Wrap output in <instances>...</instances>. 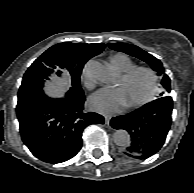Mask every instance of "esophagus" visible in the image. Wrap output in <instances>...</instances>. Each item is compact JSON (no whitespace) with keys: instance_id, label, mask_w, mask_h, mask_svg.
I'll use <instances>...</instances> for the list:
<instances>
[{"instance_id":"34e87169","label":"esophagus","mask_w":194,"mask_h":193,"mask_svg":"<svg viewBox=\"0 0 194 193\" xmlns=\"http://www.w3.org/2000/svg\"><path fill=\"white\" fill-rule=\"evenodd\" d=\"M111 118H112V117L109 116V115L104 116L105 123H106L107 125H109Z\"/></svg>"}]
</instances>
